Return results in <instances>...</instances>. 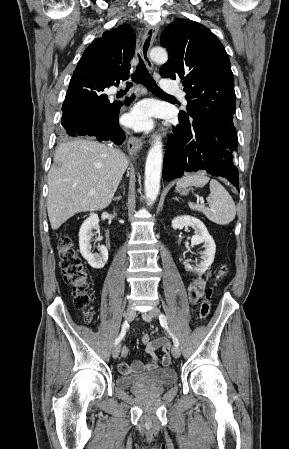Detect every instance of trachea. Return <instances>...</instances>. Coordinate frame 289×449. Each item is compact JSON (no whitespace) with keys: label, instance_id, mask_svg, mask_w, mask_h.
Segmentation results:
<instances>
[{"label":"trachea","instance_id":"obj_1","mask_svg":"<svg viewBox=\"0 0 289 449\" xmlns=\"http://www.w3.org/2000/svg\"><path fill=\"white\" fill-rule=\"evenodd\" d=\"M134 83H142L148 90L154 93L165 94L156 84L149 71L147 70L145 64L139 58V63L136 67L135 72L132 74V82H128L126 85V89H129L133 86Z\"/></svg>","mask_w":289,"mask_h":449}]
</instances>
